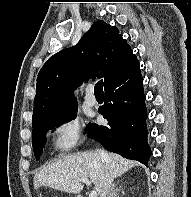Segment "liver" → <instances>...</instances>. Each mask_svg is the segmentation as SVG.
I'll list each match as a JSON object with an SVG mask.
<instances>
[{
  "instance_id": "1",
  "label": "liver",
  "mask_w": 191,
  "mask_h": 197,
  "mask_svg": "<svg viewBox=\"0 0 191 197\" xmlns=\"http://www.w3.org/2000/svg\"><path fill=\"white\" fill-rule=\"evenodd\" d=\"M108 163L102 162L97 152L85 151L62 157L42 167L34 176V189L48 186L70 194H78L83 184L78 181L90 178L94 189L101 193L106 175L112 181L126 173L139 163L127 160L122 156L110 153Z\"/></svg>"
}]
</instances>
